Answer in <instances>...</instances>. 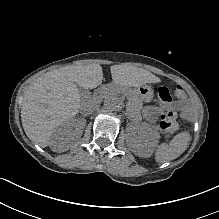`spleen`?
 I'll use <instances>...</instances> for the list:
<instances>
[{"instance_id":"obj_1","label":"spleen","mask_w":219,"mask_h":219,"mask_svg":"<svg viewBox=\"0 0 219 219\" xmlns=\"http://www.w3.org/2000/svg\"><path fill=\"white\" fill-rule=\"evenodd\" d=\"M190 141L189 132H181L174 136L169 144L162 143L155 152L157 162L171 161L179 157L187 148Z\"/></svg>"}]
</instances>
